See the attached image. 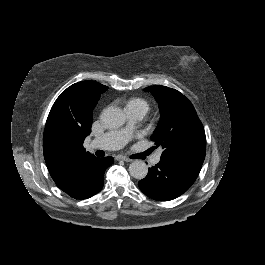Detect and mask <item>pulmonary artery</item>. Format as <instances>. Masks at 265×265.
<instances>
[{"label":"pulmonary artery","instance_id":"1","mask_svg":"<svg viewBox=\"0 0 265 265\" xmlns=\"http://www.w3.org/2000/svg\"><path fill=\"white\" fill-rule=\"evenodd\" d=\"M132 120H141L145 112L143 110L127 111ZM138 138V131L136 130V123L134 121H127L120 131H109L105 135H101L97 139V144L101 148L107 150H117L122 148L127 141H133ZM161 152L157 153L153 158V163L160 161Z\"/></svg>","mask_w":265,"mask_h":265}]
</instances>
